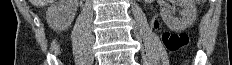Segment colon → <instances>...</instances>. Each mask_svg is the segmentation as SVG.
<instances>
[{"label": "colon", "instance_id": "1", "mask_svg": "<svg viewBox=\"0 0 232 65\" xmlns=\"http://www.w3.org/2000/svg\"><path fill=\"white\" fill-rule=\"evenodd\" d=\"M198 2H204V0ZM163 42L169 51H176L187 45L188 36L186 34L166 33L163 36Z\"/></svg>", "mask_w": 232, "mask_h": 65}]
</instances>
